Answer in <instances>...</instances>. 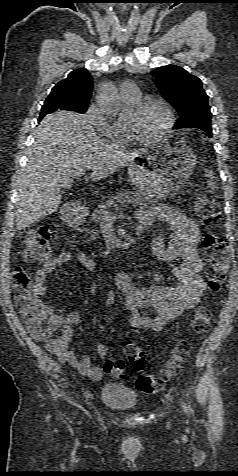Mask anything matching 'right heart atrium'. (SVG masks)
Wrapping results in <instances>:
<instances>
[{
	"label": "right heart atrium",
	"instance_id": "1",
	"mask_svg": "<svg viewBox=\"0 0 238 476\" xmlns=\"http://www.w3.org/2000/svg\"><path fill=\"white\" fill-rule=\"evenodd\" d=\"M86 114L92 126L109 140H119L125 134L124 128L106 120L97 104L90 105Z\"/></svg>",
	"mask_w": 238,
	"mask_h": 476
}]
</instances>
